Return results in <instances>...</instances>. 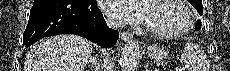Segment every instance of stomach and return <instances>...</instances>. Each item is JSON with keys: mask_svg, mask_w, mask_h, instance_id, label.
<instances>
[{"mask_svg": "<svg viewBox=\"0 0 230 71\" xmlns=\"http://www.w3.org/2000/svg\"><path fill=\"white\" fill-rule=\"evenodd\" d=\"M167 52L164 50V48L153 44L147 48V57L153 60H163L166 58Z\"/></svg>", "mask_w": 230, "mask_h": 71, "instance_id": "0dacf381", "label": "stomach"}]
</instances>
